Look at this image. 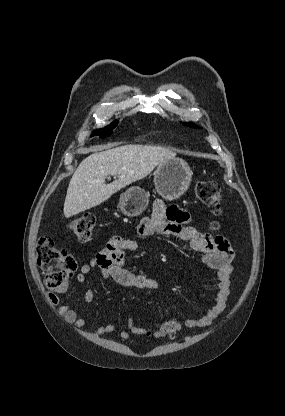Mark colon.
Masks as SVG:
<instances>
[{"label": "colon", "mask_w": 285, "mask_h": 416, "mask_svg": "<svg viewBox=\"0 0 285 416\" xmlns=\"http://www.w3.org/2000/svg\"><path fill=\"white\" fill-rule=\"evenodd\" d=\"M195 195L203 204L211 207L215 214L221 211L222 194L218 184L214 181H199L195 185ZM95 225L92 214H84L71 220L67 228L79 241L90 240ZM213 228H217L214 223ZM38 265L45 273V282L49 290L63 293L67 290L77 263L66 249L58 246L50 238H40L37 246ZM181 330V325L174 320H167L154 335L157 338H173Z\"/></svg>", "instance_id": "colon-1"}]
</instances>
